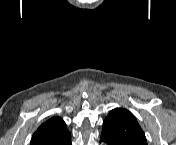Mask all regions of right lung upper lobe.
Here are the masks:
<instances>
[{"instance_id": "right-lung-upper-lobe-1", "label": "right lung upper lobe", "mask_w": 176, "mask_h": 145, "mask_svg": "<svg viewBox=\"0 0 176 145\" xmlns=\"http://www.w3.org/2000/svg\"><path fill=\"white\" fill-rule=\"evenodd\" d=\"M30 145H71V134L60 117H52L37 129Z\"/></svg>"}]
</instances>
